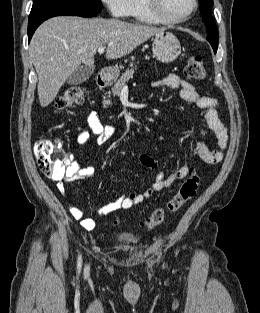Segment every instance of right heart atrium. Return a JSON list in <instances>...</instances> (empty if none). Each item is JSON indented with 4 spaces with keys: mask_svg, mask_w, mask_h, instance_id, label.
<instances>
[{
    "mask_svg": "<svg viewBox=\"0 0 260 313\" xmlns=\"http://www.w3.org/2000/svg\"><path fill=\"white\" fill-rule=\"evenodd\" d=\"M110 14L115 18L129 16L131 0H102Z\"/></svg>",
    "mask_w": 260,
    "mask_h": 313,
    "instance_id": "obj_1",
    "label": "right heart atrium"
}]
</instances>
